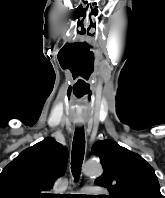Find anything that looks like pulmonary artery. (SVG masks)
Here are the masks:
<instances>
[{"mask_svg": "<svg viewBox=\"0 0 165 198\" xmlns=\"http://www.w3.org/2000/svg\"><path fill=\"white\" fill-rule=\"evenodd\" d=\"M95 190H98L97 187L95 186H85L82 188V191L85 192V193H89V192H92V191H95Z\"/></svg>", "mask_w": 165, "mask_h": 198, "instance_id": "e3ab8cb5", "label": "pulmonary artery"}]
</instances>
